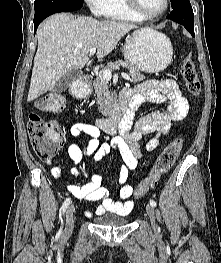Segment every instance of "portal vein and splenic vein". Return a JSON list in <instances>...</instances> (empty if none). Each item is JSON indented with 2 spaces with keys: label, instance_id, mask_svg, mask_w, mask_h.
<instances>
[{
  "label": "portal vein and splenic vein",
  "instance_id": "18ae733b",
  "mask_svg": "<svg viewBox=\"0 0 221 263\" xmlns=\"http://www.w3.org/2000/svg\"><path fill=\"white\" fill-rule=\"evenodd\" d=\"M95 53H96V47L91 48L90 51H89V55H94ZM121 75H122V77L125 80H130L131 79V77L128 74H126V73H122ZM103 78L105 80H107V81L111 80V78H112L111 71L110 70H105L103 72Z\"/></svg>",
  "mask_w": 221,
  "mask_h": 263
}]
</instances>
